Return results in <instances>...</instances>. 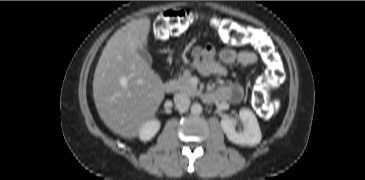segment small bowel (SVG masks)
<instances>
[{
    "instance_id": "1",
    "label": "small bowel",
    "mask_w": 365,
    "mask_h": 180,
    "mask_svg": "<svg viewBox=\"0 0 365 180\" xmlns=\"http://www.w3.org/2000/svg\"><path fill=\"white\" fill-rule=\"evenodd\" d=\"M191 57L192 66L201 74L220 77L227 74L224 64L250 66L257 61L256 55L250 51H235L225 48L217 53L213 46L195 47L191 52ZM215 96L220 100L239 102L243 96V89L238 84H229L219 88Z\"/></svg>"
}]
</instances>
